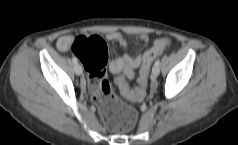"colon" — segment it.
<instances>
[{
  "instance_id": "5ec220e1",
  "label": "colon",
  "mask_w": 238,
  "mask_h": 145,
  "mask_svg": "<svg viewBox=\"0 0 238 145\" xmlns=\"http://www.w3.org/2000/svg\"><path fill=\"white\" fill-rule=\"evenodd\" d=\"M169 45V40L160 39L144 53L139 85L135 89L129 88L124 76L117 77L116 84L126 98L132 101L144 98L151 64ZM72 52L83 63L88 73V86L93 101L98 106L107 127L116 132L132 129L137 121V112L114 94L106 78L108 54L104 40L98 36H77L72 43Z\"/></svg>"
}]
</instances>
